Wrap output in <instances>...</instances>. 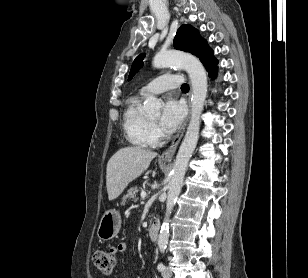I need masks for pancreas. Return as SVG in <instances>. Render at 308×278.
Masks as SVG:
<instances>
[{
    "instance_id": "obj_1",
    "label": "pancreas",
    "mask_w": 308,
    "mask_h": 278,
    "mask_svg": "<svg viewBox=\"0 0 308 278\" xmlns=\"http://www.w3.org/2000/svg\"><path fill=\"white\" fill-rule=\"evenodd\" d=\"M139 188L138 187H131L128 191L127 194L123 197V205L127 203V200L133 199L134 202L137 201L136 194L138 193Z\"/></svg>"
}]
</instances>
